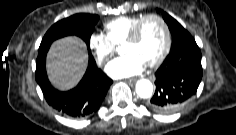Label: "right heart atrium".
I'll return each mask as SVG.
<instances>
[{
    "mask_svg": "<svg viewBox=\"0 0 236 135\" xmlns=\"http://www.w3.org/2000/svg\"><path fill=\"white\" fill-rule=\"evenodd\" d=\"M88 45L96 62L101 66L116 52V46L102 33H92L89 36Z\"/></svg>",
    "mask_w": 236,
    "mask_h": 135,
    "instance_id": "obj_1",
    "label": "right heart atrium"
}]
</instances>
